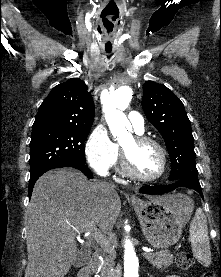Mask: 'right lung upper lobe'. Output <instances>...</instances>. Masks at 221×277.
Returning <instances> with one entry per match:
<instances>
[{
	"instance_id": "right-lung-upper-lobe-1",
	"label": "right lung upper lobe",
	"mask_w": 221,
	"mask_h": 277,
	"mask_svg": "<svg viewBox=\"0 0 221 277\" xmlns=\"http://www.w3.org/2000/svg\"><path fill=\"white\" fill-rule=\"evenodd\" d=\"M95 106L86 84L72 78L54 87L41 104L33 127L92 126Z\"/></svg>"
}]
</instances>
